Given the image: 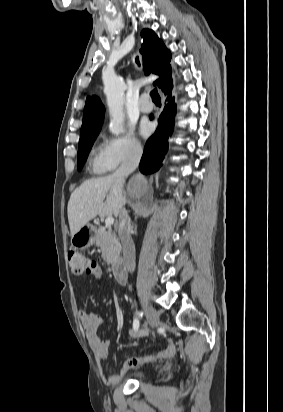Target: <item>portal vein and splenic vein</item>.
<instances>
[{"mask_svg": "<svg viewBox=\"0 0 283 412\" xmlns=\"http://www.w3.org/2000/svg\"><path fill=\"white\" fill-rule=\"evenodd\" d=\"M114 224V218L113 217H107L105 220V225L106 226H111Z\"/></svg>", "mask_w": 283, "mask_h": 412, "instance_id": "18ae733b", "label": "portal vein and splenic vein"}]
</instances>
